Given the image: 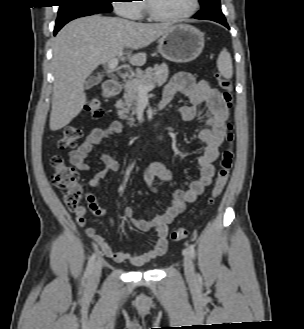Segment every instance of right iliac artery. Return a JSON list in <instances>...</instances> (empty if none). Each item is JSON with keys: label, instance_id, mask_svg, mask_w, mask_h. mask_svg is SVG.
Returning a JSON list of instances; mask_svg holds the SVG:
<instances>
[{"label": "right iliac artery", "instance_id": "right-iliac-artery-1", "mask_svg": "<svg viewBox=\"0 0 304 329\" xmlns=\"http://www.w3.org/2000/svg\"><path fill=\"white\" fill-rule=\"evenodd\" d=\"M95 257H96L95 254H93L88 261L87 268H86V271L84 274V277L87 279H89L91 276V273H92V270L94 267V263H95Z\"/></svg>", "mask_w": 304, "mask_h": 329}]
</instances>
